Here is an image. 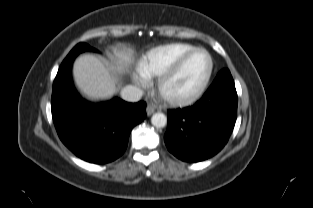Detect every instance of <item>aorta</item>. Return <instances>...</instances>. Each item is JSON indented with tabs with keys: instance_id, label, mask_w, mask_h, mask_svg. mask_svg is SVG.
I'll return each mask as SVG.
<instances>
[{
	"instance_id": "obj_1",
	"label": "aorta",
	"mask_w": 313,
	"mask_h": 208,
	"mask_svg": "<svg viewBox=\"0 0 313 208\" xmlns=\"http://www.w3.org/2000/svg\"><path fill=\"white\" fill-rule=\"evenodd\" d=\"M151 123L157 128H163L167 124V117L163 113H155L151 118Z\"/></svg>"
}]
</instances>
